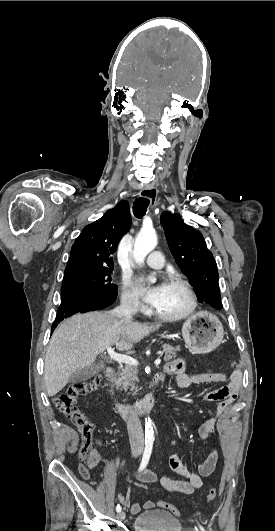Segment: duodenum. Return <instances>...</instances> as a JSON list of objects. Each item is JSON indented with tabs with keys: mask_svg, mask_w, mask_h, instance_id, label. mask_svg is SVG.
<instances>
[{
	"mask_svg": "<svg viewBox=\"0 0 275 531\" xmlns=\"http://www.w3.org/2000/svg\"><path fill=\"white\" fill-rule=\"evenodd\" d=\"M115 371L116 369L114 366H107L103 370V378L108 385V392L112 398H113V390H112L111 379L114 377ZM164 377L165 375L161 373H158L153 377L152 386L154 389L160 385ZM155 404H156V398L154 396V393H150L145 398L139 401H136L134 403L114 402V409L118 415L124 418H130V417H135V416H142L148 410L153 408Z\"/></svg>",
	"mask_w": 275,
	"mask_h": 531,
	"instance_id": "1",
	"label": "duodenum"
}]
</instances>
